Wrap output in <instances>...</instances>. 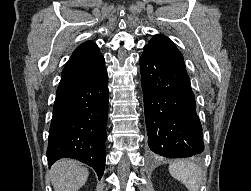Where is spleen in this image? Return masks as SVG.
Instances as JSON below:
<instances>
[{"label": "spleen", "mask_w": 251, "mask_h": 191, "mask_svg": "<svg viewBox=\"0 0 251 191\" xmlns=\"http://www.w3.org/2000/svg\"><path fill=\"white\" fill-rule=\"evenodd\" d=\"M171 175L186 185L189 191H199L202 169L193 161H173L168 167Z\"/></svg>", "instance_id": "spleen-1"}]
</instances>
